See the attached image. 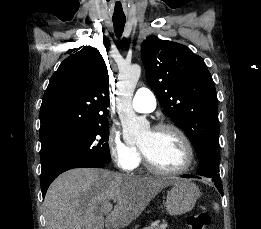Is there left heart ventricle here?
<instances>
[{"mask_svg": "<svg viewBox=\"0 0 261 229\" xmlns=\"http://www.w3.org/2000/svg\"><path fill=\"white\" fill-rule=\"evenodd\" d=\"M140 148L158 167L166 170L180 168L186 158L185 148L179 136L169 130L146 132L139 141Z\"/></svg>", "mask_w": 261, "mask_h": 229, "instance_id": "left-heart-ventricle-1", "label": "left heart ventricle"}]
</instances>
